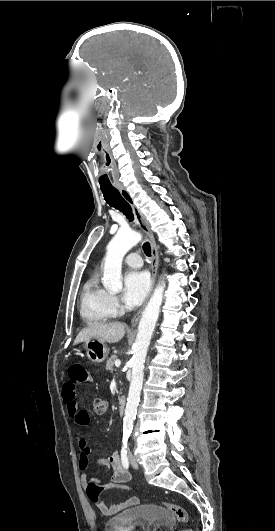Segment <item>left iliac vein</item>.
Wrapping results in <instances>:
<instances>
[{
    "mask_svg": "<svg viewBox=\"0 0 275 531\" xmlns=\"http://www.w3.org/2000/svg\"><path fill=\"white\" fill-rule=\"evenodd\" d=\"M130 464L133 468H138V463L135 459V457L130 453L129 454Z\"/></svg>",
    "mask_w": 275,
    "mask_h": 531,
    "instance_id": "left-iliac-vein-1",
    "label": "left iliac vein"
}]
</instances>
